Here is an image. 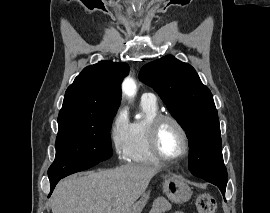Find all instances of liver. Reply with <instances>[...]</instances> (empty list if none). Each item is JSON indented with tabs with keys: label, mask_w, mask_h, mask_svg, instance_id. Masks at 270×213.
I'll return each instance as SVG.
<instances>
[{
	"label": "liver",
	"mask_w": 270,
	"mask_h": 213,
	"mask_svg": "<svg viewBox=\"0 0 270 213\" xmlns=\"http://www.w3.org/2000/svg\"><path fill=\"white\" fill-rule=\"evenodd\" d=\"M160 171L157 165L127 164L73 175L54 189L52 213H126Z\"/></svg>",
	"instance_id": "1"
}]
</instances>
